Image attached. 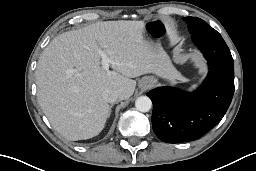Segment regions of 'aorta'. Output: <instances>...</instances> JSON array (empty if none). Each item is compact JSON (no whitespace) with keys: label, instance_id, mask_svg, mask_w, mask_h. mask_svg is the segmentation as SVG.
Instances as JSON below:
<instances>
[{"label":"aorta","instance_id":"obj_1","mask_svg":"<svg viewBox=\"0 0 256 171\" xmlns=\"http://www.w3.org/2000/svg\"><path fill=\"white\" fill-rule=\"evenodd\" d=\"M135 107L140 112H148L152 107V101L147 96H141L135 101Z\"/></svg>","mask_w":256,"mask_h":171}]
</instances>
